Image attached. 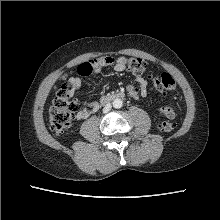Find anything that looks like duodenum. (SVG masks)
I'll use <instances>...</instances> for the list:
<instances>
[{
    "mask_svg": "<svg viewBox=\"0 0 220 220\" xmlns=\"http://www.w3.org/2000/svg\"><path fill=\"white\" fill-rule=\"evenodd\" d=\"M124 97H125V94L123 92H118L115 94L104 96L100 100L99 107L104 106L115 99H120V98H124Z\"/></svg>",
    "mask_w": 220,
    "mask_h": 220,
    "instance_id": "obj_1",
    "label": "duodenum"
}]
</instances>
